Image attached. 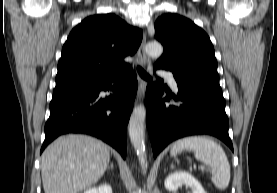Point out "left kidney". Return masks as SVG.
<instances>
[{
	"label": "left kidney",
	"instance_id": "obj_1",
	"mask_svg": "<svg viewBox=\"0 0 277 193\" xmlns=\"http://www.w3.org/2000/svg\"><path fill=\"white\" fill-rule=\"evenodd\" d=\"M182 185L190 187L192 193H207L199 181L185 171H177L169 174L164 182V186L168 191H175Z\"/></svg>",
	"mask_w": 277,
	"mask_h": 193
}]
</instances>
